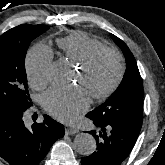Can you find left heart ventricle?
I'll use <instances>...</instances> for the list:
<instances>
[{
  "label": "left heart ventricle",
  "mask_w": 165,
  "mask_h": 165,
  "mask_svg": "<svg viewBox=\"0 0 165 165\" xmlns=\"http://www.w3.org/2000/svg\"><path fill=\"white\" fill-rule=\"evenodd\" d=\"M118 71V64L114 56L104 54L97 59L94 65L86 72L78 70L76 83L88 95L106 90L114 81Z\"/></svg>",
  "instance_id": "1"
}]
</instances>
